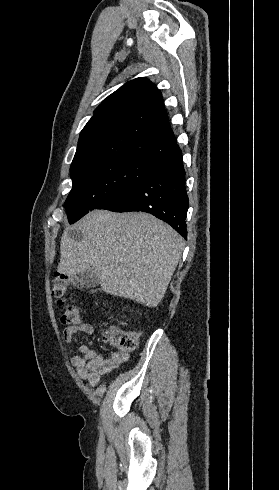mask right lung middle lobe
<instances>
[{
    "label": "right lung middle lobe",
    "instance_id": "obj_1",
    "mask_svg": "<svg viewBox=\"0 0 279 490\" xmlns=\"http://www.w3.org/2000/svg\"><path fill=\"white\" fill-rule=\"evenodd\" d=\"M154 165L132 159H104L71 171L73 187L65 202L69 223L96 209L110 194L140 180Z\"/></svg>",
    "mask_w": 279,
    "mask_h": 490
}]
</instances>
